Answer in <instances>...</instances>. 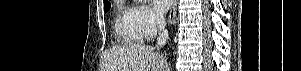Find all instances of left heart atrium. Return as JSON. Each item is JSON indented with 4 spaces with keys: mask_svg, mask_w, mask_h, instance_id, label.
Instances as JSON below:
<instances>
[{
    "mask_svg": "<svg viewBox=\"0 0 301 71\" xmlns=\"http://www.w3.org/2000/svg\"><path fill=\"white\" fill-rule=\"evenodd\" d=\"M152 2L154 8L160 13L167 11L171 5V0H153Z\"/></svg>",
    "mask_w": 301,
    "mask_h": 71,
    "instance_id": "39dd6f15",
    "label": "left heart atrium"
}]
</instances>
